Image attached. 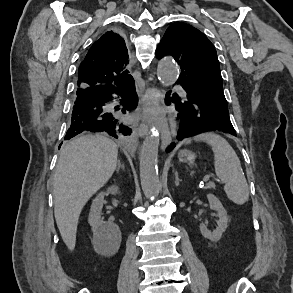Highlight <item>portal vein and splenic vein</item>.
I'll use <instances>...</instances> for the list:
<instances>
[{
	"mask_svg": "<svg viewBox=\"0 0 293 293\" xmlns=\"http://www.w3.org/2000/svg\"><path fill=\"white\" fill-rule=\"evenodd\" d=\"M209 179V177L208 176H206L205 178H204V181H207Z\"/></svg>",
	"mask_w": 293,
	"mask_h": 293,
	"instance_id": "obj_1",
	"label": "portal vein and splenic vein"
}]
</instances>
